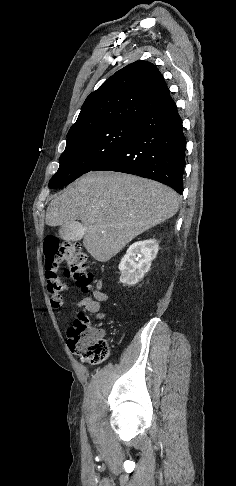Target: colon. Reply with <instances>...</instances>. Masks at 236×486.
I'll list each match as a JSON object with an SVG mask.
<instances>
[{"mask_svg": "<svg viewBox=\"0 0 236 486\" xmlns=\"http://www.w3.org/2000/svg\"><path fill=\"white\" fill-rule=\"evenodd\" d=\"M45 281L51 296V304L58 308L63 304L65 283L59 276L63 262L67 263L66 275L72 277L83 292L92 288L93 274L88 271L87 256L76 243H60L55 237L44 242ZM68 346L83 362L99 364L109 354V346L100 330L91 326L84 312L78 313L68 329Z\"/></svg>", "mask_w": 236, "mask_h": 486, "instance_id": "colon-1", "label": "colon"}]
</instances>
